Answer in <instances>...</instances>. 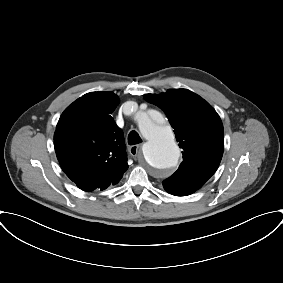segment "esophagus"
Returning <instances> with one entry per match:
<instances>
[{
  "instance_id": "esophagus-1",
  "label": "esophagus",
  "mask_w": 283,
  "mask_h": 283,
  "mask_svg": "<svg viewBox=\"0 0 283 283\" xmlns=\"http://www.w3.org/2000/svg\"><path fill=\"white\" fill-rule=\"evenodd\" d=\"M140 148H141L140 144L130 146L129 147L130 155L134 158L141 155Z\"/></svg>"
}]
</instances>
